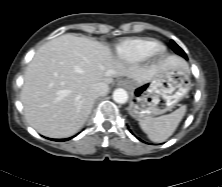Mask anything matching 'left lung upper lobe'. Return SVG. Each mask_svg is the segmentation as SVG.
I'll return each instance as SVG.
<instances>
[{
  "instance_id": "1",
  "label": "left lung upper lobe",
  "mask_w": 222,
  "mask_h": 187,
  "mask_svg": "<svg viewBox=\"0 0 222 187\" xmlns=\"http://www.w3.org/2000/svg\"><path fill=\"white\" fill-rule=\"evenodd\" d=\"M171 48L174 52L182 57L186 56L185 52L173 40H171Z\"/></svg>"
}]
</instances>
